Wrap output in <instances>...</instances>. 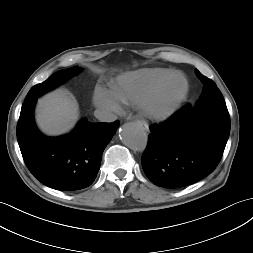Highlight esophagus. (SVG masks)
Listing matches in <instances>:
<instances>
[{
  "label": "esophagus",
  "mask_w": 253,
  "mask_h": 253,
  "mask_svg": "<svg viewBox=\"0 0 253 253\" xmlns=\"http://www.w3.org/2000/svg\"><path fill=\"white\" fill-rule=\"evenodd\" d=\"M140 124V126L145 130L148 131L149 130V126L147 123L143 122V121H139L138 122Z\"/></svg>",
  "instance_id": "obj_1"
}]
</instances>
